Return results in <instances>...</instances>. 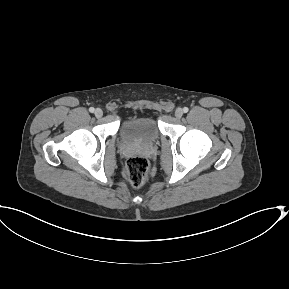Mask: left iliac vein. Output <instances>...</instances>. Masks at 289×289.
Wrapping results in <instances>:
<instances>
[{
    "mask_svg": "<svg viewBox=\"0 0 289 289\" xmlns=\"http://www.w3.org/2000/svg\"><path fill=\"white\" fill-rule=\"evenodd\" d=\"M175 116L176 118H181L183 116V110L181 108L176 109Z\"/></svg>",
    "mask_w": 289,
    "mask_h": 289,
    "instance_id": "4c4485c4",
    "label": "left iliac vein"
}]
</instances>
